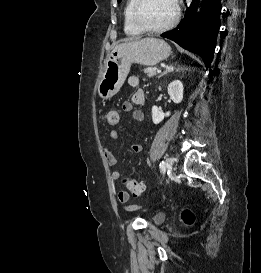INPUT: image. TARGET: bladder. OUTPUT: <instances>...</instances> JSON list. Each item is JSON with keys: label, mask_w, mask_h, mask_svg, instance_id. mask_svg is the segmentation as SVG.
<instances>
[{"label": "bladder", "mask_w": 261, "mask_h": 273, "mask_svg": "<svg viewBox=\"0 0 261 273\" xmlns=\"http://www.w3.org/2000/svg\"><path fill=\"white\" fill-rule=\"evenodd\" d=\"M154 223H161L164 221V215L163 214H157L153 218Z\"/></svg>", "instance_id": "1"}]
</instances>
